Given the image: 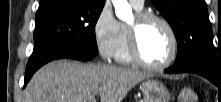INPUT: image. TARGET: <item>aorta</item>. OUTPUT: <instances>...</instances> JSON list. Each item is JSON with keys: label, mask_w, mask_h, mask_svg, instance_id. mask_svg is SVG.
<instances>
[{"label": "aorta", "mask_w": 221, "mask_h": 102, "mask_svg": "<svg viewBox=\"0 0 221 102\" xmlns=\"http://www.w3.org/2000/svg\"><path fill=\"white\" fill-rule=\"evenodd\" d=\"M112 3L119 19L127 21L133 17L132 8L127 0H112Z\"/></svg>", "instance_id": "aorta-1"}]
</instances>
